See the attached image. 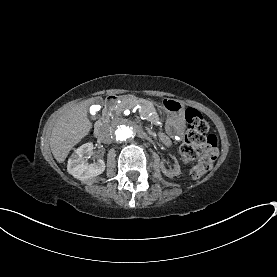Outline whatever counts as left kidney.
<instances>
[{
  "instance_id": "5707ae66",
  "label": "left kidney",
  "mask_w": 277,
  "mask_h": 277,
  "mask_svg": "<svg viewBox=\"0 0 277 277\" xmlns=\"http://www.w3.org/2000/svg\"><path fill=\"white\" fill-rule=\"evenodd\" d=\"M173 159H174V162H175V167H174L173 170H166L163 167L161 168L162 173L165 176L169 177V178H173L174 176H178V175L181 174V168H180V165L178 163V160L175 157H173Z\"/></svg>"
}]
</instances>
